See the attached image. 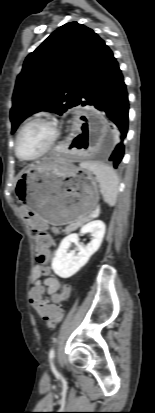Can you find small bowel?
<instances>
[{
	"instance_id": "obj_1",
	"label": "small bowel",
	"mask_w": 155,
	"mask_h": 413,
	"mask_svg": "<svg viewBox=\"0 0 155 413\" xmlns=\"http://www.w3.org/2000/svg\"><path fill=\"white\" fill-rule=\"evenodd\" d=\"M18 212L21 215V220L28 226L29 231H49V222H45L43 218H36L32 210L27 205H20ZM47 237V246L50 245L51 239ZM40 266H35L31 272L32 288L29 297L32 293H37L41 296L47 294L53 296L60 289V281L52 276H44L39 272ZM44 277L43 280L41 278Z\"/></svg>"
}]
</instances>
